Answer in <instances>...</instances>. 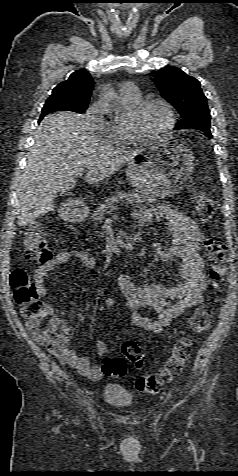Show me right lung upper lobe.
Returning a JSON list of instances; mask_svg holds the SVG:
<instances>
[{
	"instance_id": "right-lung-upper-lobe-1",
	"label": "right lung upper lobe",
	"mask_w": 238,
	"mask_h": 476,
	"mask_svg": "<svg viewBox=\"0 0 238 476\" xmlns=\"http://www.w3.org/2000/svg\"><path fill=\"white\" fill-rule=\"evenodd\" d=\"M94 88L93 78L85 69L72 73L68 80L59 83L52 91V95L60 94L76 105H87Z\"/></svg>"
}]
</instances>
